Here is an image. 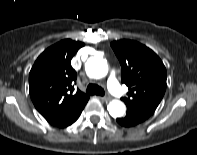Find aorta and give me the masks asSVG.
Instances as JSON below:
<instances>
[{
    "mask_svg": "<svg viewBox=\"0 0 197 155\" xmlns=\"http://www.w3.org/2000/svg\"><path fill=\"white\" fill-rule=\"evenodd\" d=\"M85 71L90 78L99 79L108 73V65L103 58L90 57L85 63ZM107 109L112 117H121L126 111L124 103L119 100H112Z\"/></svg>",
    "mask_w": 197,
    "mask_h": 155,
    "instance_id": "aorta-1",
    "label": "aorta"
}]
</instances>
